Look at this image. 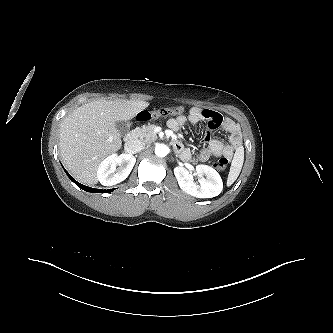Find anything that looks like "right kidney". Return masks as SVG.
<instances>
[{
	"label": "right kidney",
	"instance_id": "ca27d5eb",
	"mask_svg": "<svg viewBox=\"0 0 333 333\" xmlns=\"http://www.w3.org/2000/svg\"><path fill=\"white\" fill-rule=\"evenodd\" d=\"M136 158L130 154H112L99 165L97 177L104 186H113L125 180L132 171Z\"/></svg>",
	"mask_w": 333,
	"mask_h": 333
}]
</instances>
